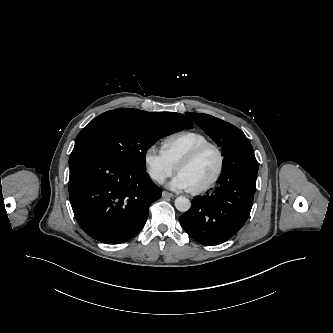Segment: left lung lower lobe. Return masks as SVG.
Segmentation results:
<instances>
[{
  "label": "left lung lower lobe",
  "mask_w": 333,
  "mask_h": 333,
  "mask_svg": "<svg viewBox=\"0 0 333 333\" xmlns=\"http://www.w3.org/2000/svg\"><path fill=\"white\" fill-rule=\"evenodd\" d=\"M224 156L217 189L195 196L191 208L179 217L184 230L203 245L223 243L233 237L246 222L253 205L258 162L250 142Z\"/></svg>",
  "instance_id": "obj_1"
}]
</instances>
